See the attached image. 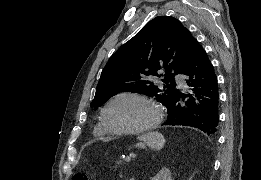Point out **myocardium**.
<instances>
[{"mask_svg":"<svg viewBox=\"0 0 261 180\" xmlns=\"http://www.w3.org/2000/svg\"><path fill=\"white\" fill-rule=\"evenodd\" d=\"M124 97H135L138 99H141L148 103L151 106V117L146 125V127L141 131H134V132H118L114 130L108 120H107V112L109 107L115 103L117 100L124 98ZM161 118V112L159 108V104L157 100L152 97L151 95L147 94L143 91L138 90H128V91H122L117 93L116 95L112 96L103 106L101 111V120L105 127V129L113 136L117 138L122 139H140L145 138L149 135H151L157 128V125Z\"/></svg>","mask_w":261,"mask_h":180,"instance_id":"obj_1","label":"myocardium"}]
</instances>
